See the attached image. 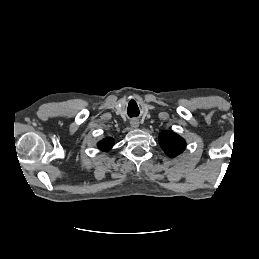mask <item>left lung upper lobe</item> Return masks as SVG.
I'll return each instance as SVG.
<instances>
[{"label":"left lung upper lobe","mask_w":259,"mask_h":259,"mask_svg":"<svg viewBox=\"0 0 259 259\" xmlns=\"http://www.w3.org/2000/svg\"><path fill=\"white\" fill-rule=\"evenodd\" d=\"M159 142L161 148L171 158L181 154L186 147V142L182 137L169 131L160 133Z\"/></svg>","instance_id":"obj_1"}]
</instances>
